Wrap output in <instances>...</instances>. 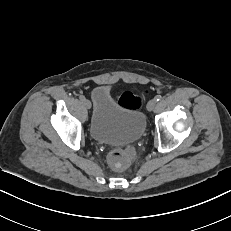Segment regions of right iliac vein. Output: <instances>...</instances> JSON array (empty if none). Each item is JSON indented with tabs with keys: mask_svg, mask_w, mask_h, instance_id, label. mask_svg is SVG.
I'll return each mask as SVG.
<instances>
[{
	"mask_svg": "<svg viewBox=\"0 0 231 231\" xmlns=\"http://www.w3.org/2000/svg\"><path fill=\"white\" fill-rule=\"evenodd\" d=\"M83 104L85 105L86 108L90 109L91 108V102L87 99L83 100Z\"/></svg>",
	"mask_w": 231,
	"mask_h": 231,
	"instance_id": "63e3f726",
	"label": "right iliac vein"
}]
</instances>
